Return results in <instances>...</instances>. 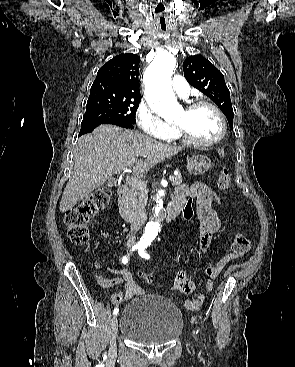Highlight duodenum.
Wrapping results in <instances>:
<instances>
[{"mask_svg": "<svg viewBox=\"0 0 295 367\" xmlns=\"http://www.w3.org/2000/svg\"><path fill=\"white\" fill-rule=\"evenodd\" d=\"M118 208L120 215L131 222H139L141 216L135 211L130 202V188L127 185H121L118 188ZM183 203L181 201L173 199L167 206L168 221L176 218L181 213Z\"/></svg>", "mask_w": 295, "mask_h": 367, "instance_id": "obj_1", "label": "duodenum"}]
</instances>
